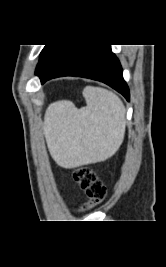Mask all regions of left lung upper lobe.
<instances>
[{"mask_svg": "<svg viewBox=\"0 0 166 267\" xmlns=\"http://www.w3.org/2000/svg\"><path fill=\"white\" fill-rule=\"evenodd\" d=\"M55 45H46L44 48H43V50H42V52H41V54H40V60H39V63H38V65H37V68H36V71H37V69L39 68V66L41 65V62L43 61V59L45 58V56L53 49V47H54Z\"/></svg>", "mask_w": 166, "mask_h": 267, "instance_id": "1", "label": "left lung upper lobe"}]
</instances>
